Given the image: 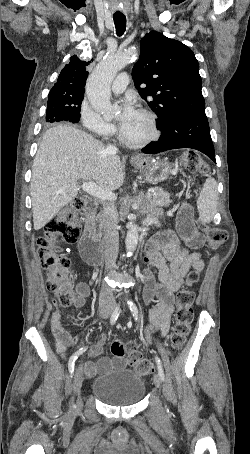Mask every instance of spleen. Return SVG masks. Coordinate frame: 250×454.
Returning <instances> with one entry per match:
<instances>
[{
	"instance_id": "3e777b00",
	"label": "spleen",
	"mask_w": 250,
	"mask_h": 454,
	"mask_svg": "<svg viewBox=\"0 0 250 454\" xmlns=\"http://www.w3.org/2000/svg\"><path fill=\"white\" fill-rule=\"evenodd\" d=\"M217 204V182L214 178L209 177L206 179L197 200V209L201 223L206 224L212 221L216 213Z\"/></svg>"
}]
</instances>
